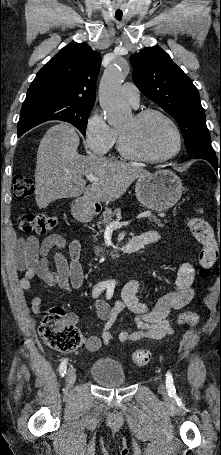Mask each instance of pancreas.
Listing matches in <instances>:
<instances>
[{
    "instance_id": "cf45deb5",
    "label": "pancreas",
    "mask_w": 221,
    "mask_h": 455,
    "mask_svg": "<svg viewBox=\"0 0 221 455\" xmlns=\"http://www.w3.org/2000/svg\"><path fill=\"white\" fill-rule=\"evenodd\" d=\"M120 213H121V209L120 208H116L114 210H112L110 208L106 209L102 213V216L100 217V221L98 222L99 229H101V226H107L109 221L112 220L113 217H116L117 219H119L120 218ZM150 221L152 223H155L158 226H163L164 223H167L166 220H164L162 222L157 217L151 218ZM95 240H97V238H95ZM94 252H95L96 255H102L104 253V248L103 247H99V246H95L94 247Z\"/></svg>"
}]
</instances>
